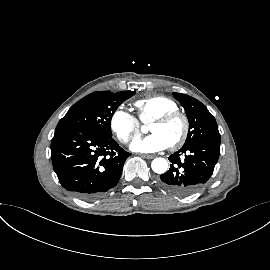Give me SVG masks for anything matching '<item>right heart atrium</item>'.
I'll use <instances>...</instances> for the list:
<instances>
[{
    "mask_svg": "<svg viewBox=\"0 0 270 270\" xmlns=\"http://www.w3.org/2000/svg\"><path fill=\"white\" fill-rule=\"evenodd\" d=\"M112 133L123 144H128L140 133L139 120L123 108L114 110L109 119Z\"/></svg>",
    "mask_w": 270,
    "mask_h": 270,
    "instance_id": "right-heart-atrium-1",
    "label": "right heart atrium"
}]
</instances>
